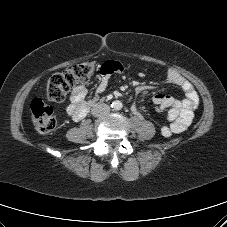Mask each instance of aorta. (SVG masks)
<instances>
[{"instance_id": "obj_1", "label": "aorta", "mask_w": 227, "mask_h": 227, "mask_svg": "<svg viewBox=\"0 0 227 227\" xmlns=\"http://www.w3.org/2000/svg\"><path fill=\"white\" fill-rule=\"evenodd\" d=\"M121 107H122V103H121L120 101H116V102L114 103V108L119 109V108H121Z\"/></svg>"}]
</instances>
